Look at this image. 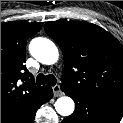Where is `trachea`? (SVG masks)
<instances>
[{
	"mask_svg": "<svg viewBox=\"0 0 123 123\" xmlns=\"http://www.w3.org/2000/svg\"><path fill=\"white\" fill-rule=\"evenodd\" d=\"M57 80L54 75L49 74V75H44L42 73L38 74L36 77V83L37 85H50V86H55Z\"/></svg>",
	"mask_w": 123,
	"mask_h": 123,
	"instance_id": "obj_1",
	"label": "trachea"
}]
</instances>
